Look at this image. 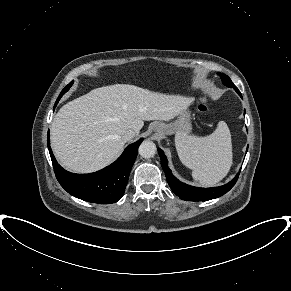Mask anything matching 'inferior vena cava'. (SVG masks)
<instances>
[{"mask_svg": "<svg viewBox=\"0 0 291 291\" xmlns=\"http://www.w3.org/2000/svg\"><path fill=\"white\" fill-rule=\"evenodd\" d=\"M138 133L134 130H127L123 133L122 139L126 142L134 138Z\"/></svg>", "mask_w": 291, "mask_h": 291, "instance_id": "1", "label": "inferior vena cava"}]
</instances>
